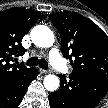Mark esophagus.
<instances>
[{"instance_id":"obj_1","label":"esophagus","mask_w":108,"mask_h":108,"mask_svg":"<svg viewBox=\"0 0 108 108\" xmlns=\"http://www.w3.org/2000/svg\"><path fill=\"white\" fill-rule=\"evenodd\" d=\"M40 72H41L42 74H48V73H50L51 71L45 70V69H40Z\"/></svg>"}]
</instances>
